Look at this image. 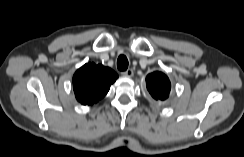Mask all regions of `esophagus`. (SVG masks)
<instances>
[{
  "instance_id": "esophagus-1",
  "label": "esophagus",
  "mask_w": 244,
  "mask_h": 157,
  "mask_svg": "<svg viewBox=\"0 0 244 157\" xmlns=\"http://www.w3.org/2000/svg\"><path fill=\"white\" fill-rule=\"evenodd\" d=\"M121 74L123 76L132 77L134 75V71L132 69H128V70L122 72Z\"/></svg>"
}]
</instances>
